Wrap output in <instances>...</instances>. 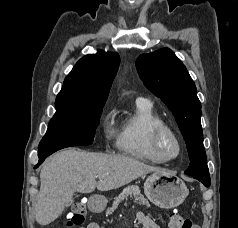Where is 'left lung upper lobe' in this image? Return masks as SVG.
I'll return each instance as SVG.
<instances>
[{
	"mask_svg": "<svg viewBox=\"0 0 238 228\" xmlns=\"http://www.w3.org/2000/svg\"><path fill=\"white\" fill-rule=\"evenodd\" d=\"M136 68L144 85L159 97L176 118L190 158L188 174L209 177L201 127V103L184 64L168 48L142 54Z\"/></svg>",
	"mask_w": 238,
	"mask_h": 228,
	"instance_id": "5c2ea615",
	"label": "left lung upper lobe"
}]
</instances>
